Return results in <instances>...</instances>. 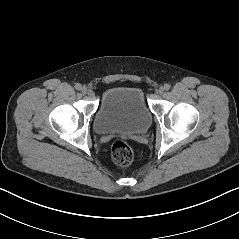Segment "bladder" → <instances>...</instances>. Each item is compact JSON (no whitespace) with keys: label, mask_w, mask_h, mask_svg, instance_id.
<instances>
[{"label":"bladder","mask_w":239,"mask_h":239,"mask_svg":"<svg viewBox=\"0 0 239 239\" xmlns=\"http://www.w3.org/2000/svg\"><path fill=\"white\" fill-rule=\"evenodd\" d=\"M151 123V111L136 86L108 89L94 117V129L99 135H140L149 130Z\"/></svg>","instance_id":"31cf9c89"}]
</instances>
